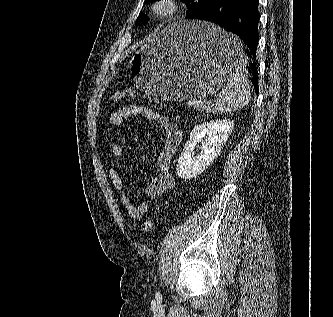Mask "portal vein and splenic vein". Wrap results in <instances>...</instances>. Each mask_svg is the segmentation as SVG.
Segmentation results:
<instances>
[{"instance_id": "18ae733b", "label": "portal vein and splenic vein", "mask_w": 333, "mask_h": 317, "mask_svg": "<svg viewBox=\"0 0 333 317\" xmlns=\"http://www.w3.org/2000/svg\"><path fill=\"white\" fill-rule=\"evenodd\" d=\"M200 102L197 100H192L188 102V106H192V105H198ZM207 104H211V102H207Z\"/></svg>"}]
</instances>
